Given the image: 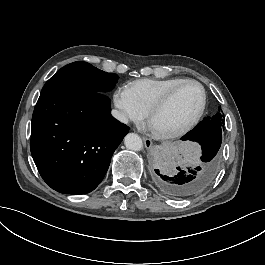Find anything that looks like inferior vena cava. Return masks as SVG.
I'll return each instance as SVG.
<instances>
[{
	"mask_svg": "<svg viewBox=\"0 0 265 265\" xmlns=\"http://www.w3.org/2000/svg\"><path fill=\"white\" fill-rule=\"evenodd\" d=\"M111 113H112V116L115 117L117 120H119V121H121L123 123H128V119L120 111L112 110Z\"/></svg>",
	"mask_w": 265,
	"mask_h": 265,
	"instance_id": "obj_1",
	"label": "inferior vena cava"
}]
</instances>
